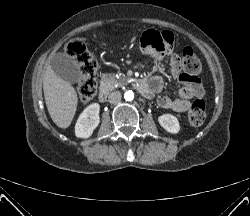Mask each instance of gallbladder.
I'll return each mask as SVG.
<instances>
[{"label":"gallbladder","mask_w":250,"mask_h":216,"mask_svg":"<svg viewBox=\"0 0 250 216\" xmlns=\"http://www.w3.org/2000/svg\"><path fill=\"white\" fill-rule=\"evenodd\" d=\"M50 66L57 76L69 83L81 79V71L75 61L65 53H57L50 60Z\"/></svg>","instance_id":"1"}]
</instances>
